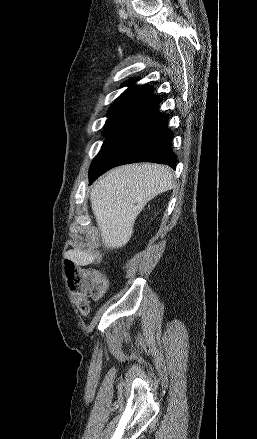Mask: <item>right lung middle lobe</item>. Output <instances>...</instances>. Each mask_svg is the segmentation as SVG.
<instances>
[{"label": "right lung middle lobe", "mask_w": 257, "mask_h": 439, "mask_svg": "<svg viewBox=\"0 0 257 439\" xmlns=\"http://www.w3.org/2000/svg\"><path fill=\"white\" fill-rule=\"evenodd\" d=\"M123 119H108L105 128L104 135L108 138L104 141L103 146L115 135V133L126 123ZM102 146V147H103Z\"/></svg>", "instance_id": "obj_1"}]
</instances>
